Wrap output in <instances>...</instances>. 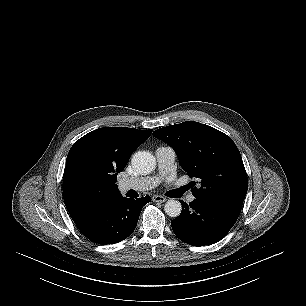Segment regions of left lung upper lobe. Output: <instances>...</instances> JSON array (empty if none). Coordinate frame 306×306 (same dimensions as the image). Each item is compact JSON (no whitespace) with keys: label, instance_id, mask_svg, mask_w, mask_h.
I'll list each match as a JSON object with an SVG mask.
<instances>
[{"label":"left lung upper lobe","instance_id":"5c2ea615","mask_svg":"<svg viewBox=\"0 0 306 306\" xmlns=\"http://www.w3.org/2000/svg\"><path fill=\"white\" fill-rule=\"evenodd\" d=\"M153 136L171 146L188 176L199 180L198 199L243 203L248 179L240 152L229 136L194 121L163 127ZM192 187L195 182H191Z\"/></svg>","mask_w":306,"mask_h":306}]
</instances>
